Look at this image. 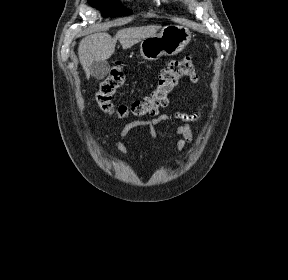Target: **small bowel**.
<instances>
[{"label": "small bowel", "mask_w": 288, "mask_h": 280, "mask_svg": "<svg viewBox=\"0 0 288 280\" xmlns=\"http://www.w3.org/2000/svg\"><path fill=\"white\" fill-rule=\"evenodd\" d=\"M198 118V114H186L182 112H176L174 116L168 114H160L151 120H137L127 124L120 132L119 136H126L129 131L135 127L146 126L151 135L155 134V128L162 124H168L173 131L181 136L177 146L180 151L184 150L192 142V132L190 128V122ZM114 146L118 148L122 153H126L127 150L120 142H115Z\"/></svg>", "instance_id": "obj_1"}]
</instances>
